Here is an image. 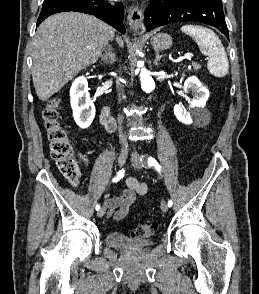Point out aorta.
Here are the masks:
<instances>
[{"mask_svg":"<svg viewBox=\"0 0 259 294\" xmlns=\"http://www.w3.org/2000/svg\"><path fill=\"white\" fill-rule=\"evenodd\" d=\"M137 66L138 69H140V81L142 90L146 93L152 92L155 89V82L150 76V72L146 68H144L143 62H138ZM130 123L135 127H139L143 125L144 120L140 116H134L131 118Z\"/></svg>","mask_w":259,"mask_h":294,"instance_id":"1","label":"aorta"}]
</instances>
